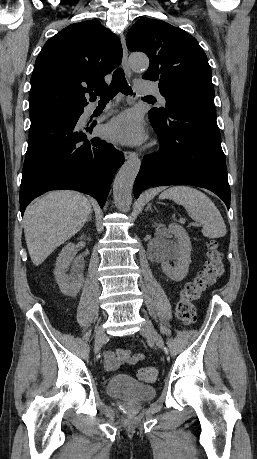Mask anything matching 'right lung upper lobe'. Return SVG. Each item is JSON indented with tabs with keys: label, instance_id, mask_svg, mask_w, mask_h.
<instances>
[{
	"label": "right lung upper lobe",
	"instance_id": "obj_1",
	"mask_svg": "<svg viewBox=\"0 0 257 459\" xmlns=\"http://www.w3.org/2000/svg\"><path fill=\"white\" fill-rule=\"evenodd\" d=\"M122 60L119 38L99 21L72 24L51 39L39 53L31 76L30 115L87 105L96 96L89 90L105 87L104 76Z\"/></svg>",
	"mask_w": 257,
	"mask_h": 459
}]
</instances>
